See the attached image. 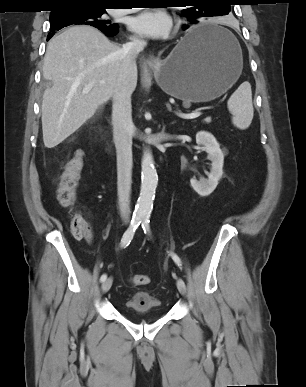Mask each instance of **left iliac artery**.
<instances>
[{
  "mask_svg": "<svg viewBox=\"0 0 306 387\" xmlns=\"http://www.w3.org/2000/svg\"><path fill=\"white\" fill-rule=\"evenodd\" d=\"M149 218L148 217H145L142 219V228L144 230L145 233L147 234H150V225H149ZM170 255L172 257V259L174 260V262L178 265V266H181V260L180 258L173 252H170Z\"/></svg>",
  "mask_w": 306,
  "mask_h": 387,
  "instance_id": "44dca946",
  "label": "left iliac artery"
}]
</instances>
